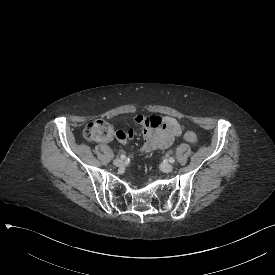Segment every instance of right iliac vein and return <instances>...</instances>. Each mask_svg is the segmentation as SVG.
Wrapping results in <instances>:
<instances>
[{"mask_svg": "<svg viewBox=\"0 0 275 275\" xmlns=\"http://www.w3.org/2000/svg\"><path fill=\"white\" fill-rule=\"evenodd\" d=\"M123 163H124L123 160L120 159V158H117V159H115V160L113 161V164H114L115 166H122Z\"/></svg>", "mask_w": 275, "mask_h": 275, "instance_id": "right-iliac-vein-1", "label": "right iliac vein"}]
</instances>
